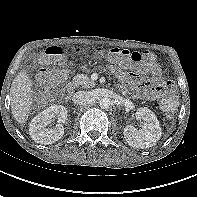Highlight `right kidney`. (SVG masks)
Returning <instances> with one entry per match:
<instances>
[{
	"mask_svg": "<svg viewBox=\"0 0 197 197\" xmlns=\"http://www.w3.org/2000/svg\"><path fill=\"white\" fill-rule=\"evenodd\" d=\"M67 109L63 105H53L36 115L30 125L29 134L31 138L40 144L49 145L62 138L64 127L62 123L67 120ZM58 119L54 128L47 127L51 122Z\"/></svg>",
	"mask_w": 197,
	"mask_h": 197,
	"instance_id": "ca27d5eb",
	"label": "right kidney"
}]
</instances>
